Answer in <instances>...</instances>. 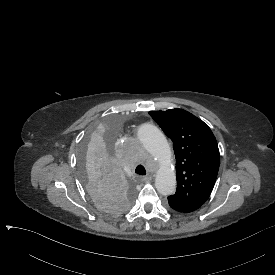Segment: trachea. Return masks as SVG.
Listing matches in <instances>:
<instances>
[{"instance_id":"trachea-1","label":"trachea","mask_w":275,"mask_h":275,"mask_svg":"<svg viewBox=\"0 0 275 275\" xmlns=\"http://www.w3.org/2000/svg\"><path fill=\"white\" fill-rule=\"evenodd\" d=\"M136 173L139 175H145L146 174V170L142 165H138L136 167Z\"/></svg>"}]
</instances>
